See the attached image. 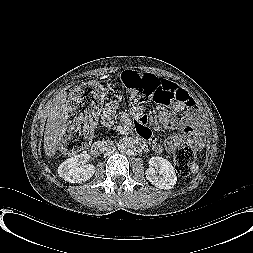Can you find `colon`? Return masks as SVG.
<instances>
[{"mask_svg":"<svg viewBox=\"0 0 253 253\" xmlns=\"http://www.w3.org/2000/svg\"><path fill=\"white\" fill-rule=\"evenodd\" d=\"M121 79L128 94L140 103L170 105L173 95L180 91L168 80L142 71L126 70L122 73ZM104 94L103 86L96 82L83 83L72 93L60 141V148L64 154H75L89 142ZM196 156V150L191 142L183 140L176 144L173 159L180 176L190 174Z\"/></svg>","mask_w":253,"mask_h":253,"instance_id":"1","label":"colon"}]
</instances>
